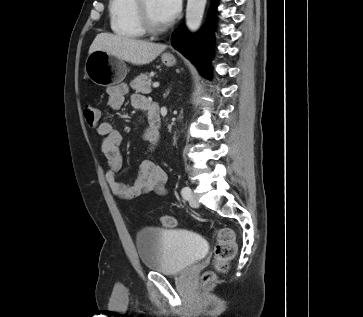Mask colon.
<instances>
[{
    "mask_svg": "<svg viewBox=\"0 0 363 317\" xmlns=\"http://www.w3.org/2000/svg\"><path fill=\"white\" fill-rule=\"evenodd\" d=\"M83 116L89 127L95 128L100 123L99 109L92 105L86 104L83 107ZM161 222L165 227L172 228L176 226V219L172 216L164 215ZM216 245L214 249V264L218 272H224L228 269L229 264L235 258L237 252V244L234 232L227 227H221L215 233ZM216 274L213 271L204 273L202 277L203 285L214 282Z\"/></svg>",
    "mask_w": 363,
    "mask_h": 317,
    "instance_id": "5ec220e1",
    "label": "colon"
}]
</instances>
